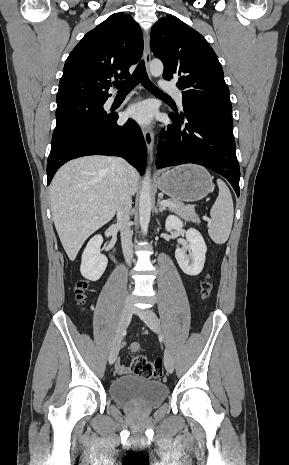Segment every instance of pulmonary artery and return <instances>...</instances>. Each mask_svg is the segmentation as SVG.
Segmentation results:
<instances>
[{
  "mask_svg": "<svg viewBox=\"0 0 289 465\" xmlns=\"http://www.w3.org/2000/svg\"><path fill=\"white\" fill-rule=\"evenodd\" d=\"M160 86L164 91H166L168 93H171L176 98L178 104L180 106H182L183 96H182V93L180 92L179 89H177L175 86H173L171 84H168V83H165V82H161ZM110 100L112 101L113 98H111Z\"/></svg>",
  "mask_w": 289,
  "mask_h": 465,
  "instance_id": "1",
  "label": "pulmonary artery"
}]
</instances>
